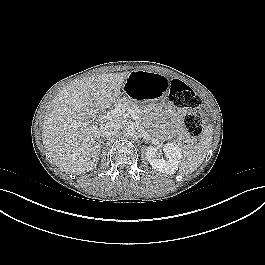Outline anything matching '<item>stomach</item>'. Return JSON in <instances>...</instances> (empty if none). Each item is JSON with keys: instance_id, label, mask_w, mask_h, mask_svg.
Returning <instances> with one entry per match:
<instances>
[{"instance_id": "1", "label": "stomach", "mask_w": 265, "mask_h": 265, "mask_svg": "<svg viewBox=\"0 0 265 265\" xmlns=\"http://www.w3.org/2000/svg\"><path fill=\"white\" fill-rule=\"evenodd\" d=\"M167 84V78L156 72L133 71L123 85V92L140 109L152 111L163 103Z\"/></svg>"}]
</instances>
